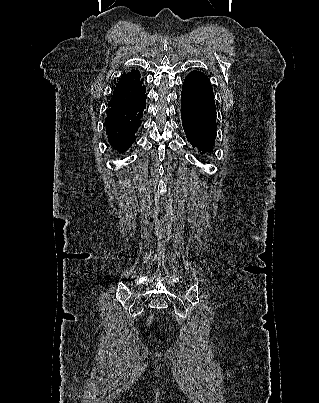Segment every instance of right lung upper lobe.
<instances>
[{
  "label": "right lung upper lobe",
  "instance_id": "obj_1",
  "mask_svg": "<svg viewBox=\"0 0 319 403\" xmlns=\"http://www.w3.org/2000/svg\"><path fill=\"white\" fill-rule=\"evenodd\" d=\"M140 77L139 71L135 69L124 73L114 89L109 106L122 104L143 93L145 87L142 85Z\"/></svg>",
  "mask_w": 319,
  "mask_h": 403
}]
</instances>
